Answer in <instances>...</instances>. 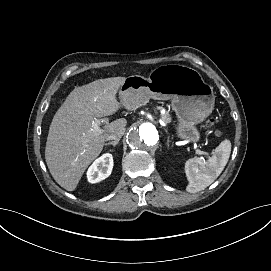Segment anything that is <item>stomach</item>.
<instances>
[{
	"label": "stomach",
	"instance_id": "1",
	"mask_svg": "<svg viewBox=\"0 0 271 271\" xmlns=\"http://www.w3.org/2000/svg\"><path fill=\"white\" fill-rule=\"evenodd\" d=\"M121 102L129 109L146 104L150 98L171 99L176 115V134L188 144L198 143V125L215 109L213 87L205 83L194 69L182 65H164L154 69L148 78L133 75L119 89Z\"/></svg>",
	"mask_w": 271,
	"mask_h": 271
}]
</instances>
